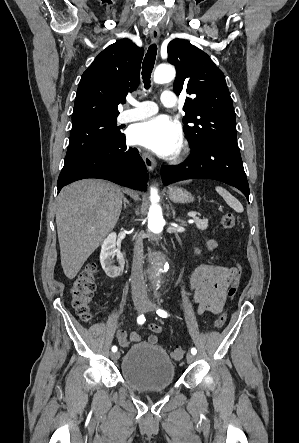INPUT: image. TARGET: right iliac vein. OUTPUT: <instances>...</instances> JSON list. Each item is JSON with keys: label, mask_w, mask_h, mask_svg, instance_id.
Returning a JSON list of instances; mask_svg holds the SVG:
<instances>
[{"label": "right iliac vein", "mask_w": 299, "mask_h": 443, "mask_svg": "<svg viewBox=\"0 0 299 443\" xmlns=\"http://www.w3.org/2000/svg\"><path fill=\"white\" fill-rule=\"evenodd\" d=\"M135 307H136V309H137L138 311H143L144 308H145V305H144L142 302L137 301V302L135 303ZM119 357H120V353H119V352H115V353H112V354H111V358H112L114 361L118 360Z\"/></svg>", "instance_id": "right-iliac-vein-1"}]
</instances>
